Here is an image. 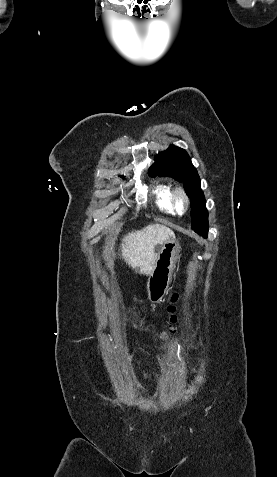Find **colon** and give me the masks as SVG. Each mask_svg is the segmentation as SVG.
Returning <instances> with one entry per match:
<instances>
[{
  "mask_svg": "<svg viewBox=\"0 0 277 477\" xmlns=\"http://www.w3.org/2000/svg\"><path fill=\"white\" fill-rule=\"evenodd\" d=\"M179 297H180L179 293L175 292L171 297V304L168 307V311L170 313V325H169L170 332L176 331V325L180 319L179 312H178L179 310L177 307V302L179 300ZM165 335H166V332H163L159 334L158 336L160 338H163Z\"/></svg>",
  "mask_w": 277,
  "mask_h": 477,
  "instance_id": "1",
  "label": "colon"
}]
</instances>
